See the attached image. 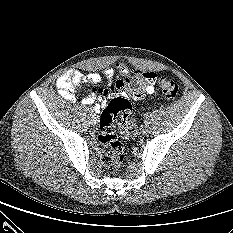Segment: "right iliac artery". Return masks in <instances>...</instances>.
I'll list each match as a JSON object with an SVG mask.
<instances>
[{
    "label": "right iliac artery",
    "instance_id": "right-iliac-artery-1",
    "mask_svg": "<svg viewBox=\"0 0 233 233\" xmlns=\"http://www.w3.org/2000/svg\"><path fill=\"white\" fill-rule=\"evenodd\" d=\"M86 111H87V113H88L89 115H92V114H93V109H92V108H87Z\"/></svg>",
    "mask_w": 233,
    "mask_h": 233
}]
</instances>
